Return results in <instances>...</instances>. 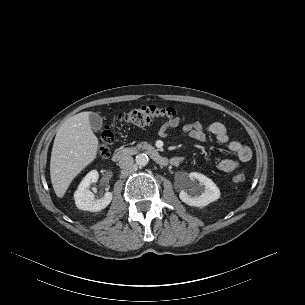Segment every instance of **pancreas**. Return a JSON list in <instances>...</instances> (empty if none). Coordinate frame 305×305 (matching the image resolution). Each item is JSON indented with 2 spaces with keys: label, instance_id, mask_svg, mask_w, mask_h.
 <instances>
[{
  "label": "pancreas",
  "instance_id": "1",
  "mask_svg": "<svg viewBox=\"0 0 305 305\" xmlns=\"http://www.w3.org/2000/svg\"><path fill=\"white\" fill-rule=\"evenodd\" d=\"M139 145H140V146H146L147 143L143 142V143H141V144H139Z\"/></svg>",
  "mask_w": 305,
  "mask_h": 305
}]
</instances>
